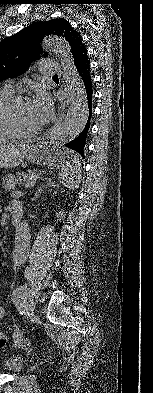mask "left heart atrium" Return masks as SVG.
<instances>
[{
  "mask_svg": "<svg viewBox=\"0 0 153 393\" xmlns=\"http://www.w3.org/2000/svg\"><path fill=\"white\" fill-rule=\"evenodd\" d=\"M34 111L37 123L45 121L50 115V106L48 101L44 97L39 98L34 106Z\"/></svg>",
  "mask_w": 153,
  "mask_h": 393,
  "instance_id": "obj_1",
  "label": "left heart atrium"
}]
</instances>
